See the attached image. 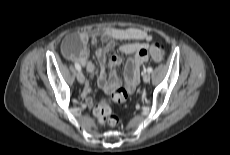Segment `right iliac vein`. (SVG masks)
<instances>
[{
  "instance_id": "63e3f726",
  "label": "right iliac vein",
  "mask_w": 230,
  "mask_h": 155,
  "mask_svg": "<svg viewBox=\"0 0 230 155\" xmlns=\"http://www.w3.org/2000/svg\"><path fill=\"white\" fill-rule=\"evenodd\" d=\"M77 80L80 84H83L85 81L84 74L81 71L77 72Z\"/></svg>"
}]
</instances>
